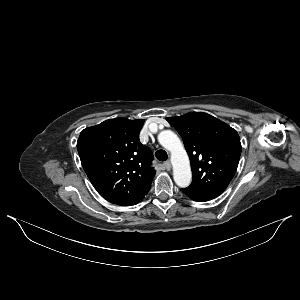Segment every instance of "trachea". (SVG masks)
<instances>
[{
    "label": "trachea",
    "instance_id": "3493384b",
    "mask_svg": "<svg viewBox=\"0 0 300 300\" xmlns=\"http://www.w3.org/2000/svg\"><path fill=\"white\" fill-rule=\"evenodd\" d=\"M155 156H156V158H157L159 161H166V160L168 159L167 152L164 151V150H158V151L155 153Z\"/></svg>",
    "mask_w": 300,
    "mask_h": 300
}]
</instances>
